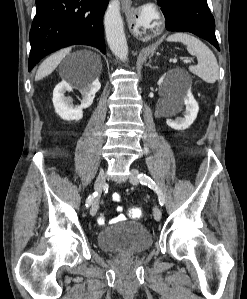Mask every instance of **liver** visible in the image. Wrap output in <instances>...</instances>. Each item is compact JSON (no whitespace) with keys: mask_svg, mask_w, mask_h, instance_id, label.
Listing matches in <instances>:
<instances>
[{"mask_svg":"<svg viewBox=\"0 0 247 299\" xmlns=\"http://www.w3.org/2000/svg\"><path fill=\"white\" fill-rule=\"evenodd\" d=\"M70 51H71V48L61 49L58 52H56V53L52 54L51 56H49L48 58H46L39 66V68L36 72V75H35V80L39 81V80L43 79L44 77L50 75L60 64L62 59H64V57L70 53ZM93 55L96 57L98 63L100 64L99 57L96 54H93Z\"/></svg>","mask_w":247,"mask_h":299,"instance_id":"6515ba94","label":"liver"}]
</instances>
